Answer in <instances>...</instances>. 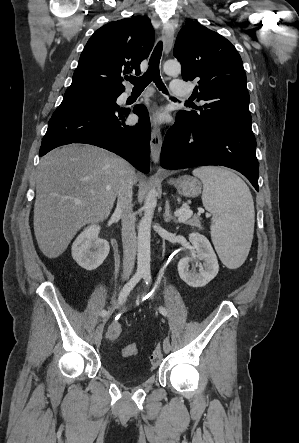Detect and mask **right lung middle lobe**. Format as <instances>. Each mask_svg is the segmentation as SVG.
I'll list each match as a JSON object with an SVG mask.
<instances>
[{
    "instance_id": "dd1d6c3e",
    "label": "right lung middle lobe",
    "mask_w": 299,
    "mask_h": 443,
    "mask_svg": "<svg viewBox=\"0 0 299 443\" xmlns=\"http://www.w3.org/2000/svg\"><path fill=\"white\" fill-rule=\"evenodd\" d=\"M119 95L118 93L94 88L69 87L64 94L62 103L96 106L103 109H117L116 99Z\"/></svg>"
}]
</instances>
